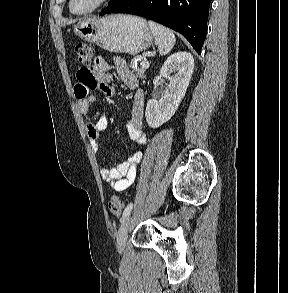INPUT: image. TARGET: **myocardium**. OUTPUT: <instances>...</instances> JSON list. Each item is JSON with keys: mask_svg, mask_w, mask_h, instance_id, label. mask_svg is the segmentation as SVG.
<instances>
[{"mask_svg": "<svg viewBox=\"0 0 288 293\" xmlns=\"http://www.w3.org/2000/svg\"><path fill=\"white\" fill-rule=\"evenodd\" d=\"M108 1L109 0H96L90 7L86 8L84 10L77 11L73 8L74 0H69V9L73 14L84 15V14H88V13H91V12L97 10L98 8L103 6L105 3H107Z\"/></svg>", "mask_w": 288, "mask_h": 293, "instance_id": "myocardium-1", "label": "myocardium"}]
</instances>
